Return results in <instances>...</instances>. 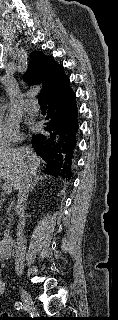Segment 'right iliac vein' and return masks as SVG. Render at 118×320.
Wrapping results in <instances>:
<instances>
[{
  "instance_id": "obj_1",
  "label": "right iliac vein",
  "mask_w": 118,
  "mask_h": 320,
  "mask_svg": "<svg viewBox=\"0 0 118 320\" xmlns=\"http://www.w3.org/2000/svg\"><path fill=\"white\" fill-rule=\"evenodd\" d=\"M21 299H22V302H23L24 306L27 309H32L33 308L32 297L24 288H21Z\"/></svg>"
}]
</instances>
